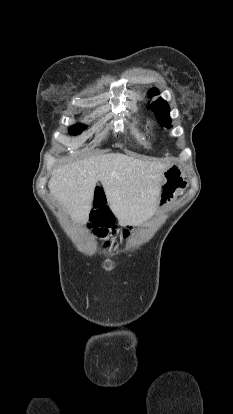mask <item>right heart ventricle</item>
<instances>
[{"label": "right heart ventricle", "mask_w": 233, "mask_h": 414, "mask_svg": "<svg viewBox=\"0 0 233 414\" xmlns=\"http://www.w3.org/2000/svg\"><path fill=\"white\" fill-rule=\"evenodd\" d=\"M138 124H140V120H138Z\"/></svg>", "instance_id": "obj_1"}]
</instances>
